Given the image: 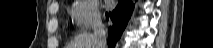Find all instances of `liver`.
I'll use <instances>...</instances> for the list:
<instances>
[{
    "label": "liver",
    "mask_w": 213,
    "mask_h": 48,
    "mask_svg": "<svg viewBox=\"0 0 213 48\" xmlns=\"http://www.w3.org/2000/svg\"><path fill=\"white\" fill-rule=\"evenodd\" d=\"M94 37L91 33L77 35L67 48H97Z\"/></svg>",
    "instance_id": "6515ba94"
}]
</instances>
